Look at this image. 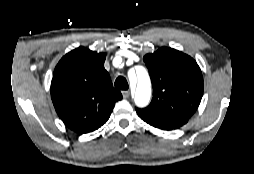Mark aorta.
I'll use <instances>...</instances> for the list:
<instances>
[{
  "mask_svg": "<svg viewBox=\"0 0 254 174\" xmlns=\"http://www.w3.org/2000/svg\"><path fill=\"white\" fill-rule=\"evenodd\" d=\"M136 91L135 104L138 107H146L151 99V81L147 70L142 66L136 67Z\"/></svg>",
  "mask_w": 254,
  "mask_h": 174,
  "instance_id": "obj_1",
  "label": "aorta"
}]
</instances>
